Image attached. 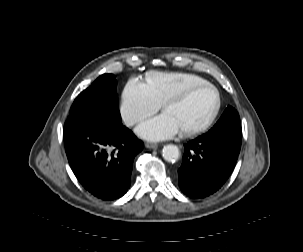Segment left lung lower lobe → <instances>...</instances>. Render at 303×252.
Here are the masks:
<instances>
[{
  "mask_svg": "<svg viewBox=\"0 0 303 252\" xmlns=\"http://www.w3.org/2000/svg\"><path fill=\"white\" fill-rule=\"evenodd\" d=\"M241 140L210 139L199 136L184 144L178 170V184L191 198L216 192L231 174L240 152Z\"/></svg>",
  "mask_w": 303,
  "mask_h": 252,
  "instance_id": "1",
  "label": "left lung lower lobe"
}]
</instances>
